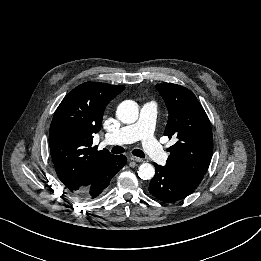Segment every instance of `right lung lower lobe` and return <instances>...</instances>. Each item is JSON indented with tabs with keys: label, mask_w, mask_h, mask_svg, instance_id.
Wrapping results in <instances>:
<instances>
[{
	"label": "right lung lower lobe",
	"mask_w": 261,
	"mask_h": 261,
	"mask_svg": "<svg viewBox=\"0 0 261 261\" xmlns=\"http://www.w3.org/2000/svg\"><path fill=\"white\" fill-rule=\"evenodd\" d=\"M126 162L127 159L124 155H112L99 167L92 182L79 192L75 193V196L84 200H90L101 196L109 185L110 180L126 164Z\"/></svg>",
	"instance_id": "right-lung-lower-lobe-1"
}]
</instances>
